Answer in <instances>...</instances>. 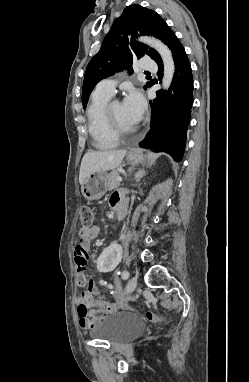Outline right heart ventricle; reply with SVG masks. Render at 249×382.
I'll use <instances>...</instances> for the list:
<instances>
[{"instance_id": "right-heart-ventricle-1", "label": "right heart ventricle", "mask_w": 249, "mask_h": 382, "mask_svg": "<svg viewBox=\"0 0 249 382\" xmlns=\"http://www.w3.org/2000/svg\"><path fill=\"white\" fill-rule=\"evenodd\" d=\"M111 96L94 91L87 108L88 130L94 147L101 150L112 149L117 146L119 138L109 130L105 120V107Z\"/></svg>"}]
</instances>
